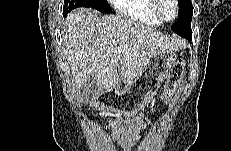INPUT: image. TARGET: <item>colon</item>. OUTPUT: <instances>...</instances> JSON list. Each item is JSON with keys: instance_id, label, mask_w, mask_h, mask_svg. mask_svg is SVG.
I'll return each mask as SVG.
<instances>
[{"instance_id": "1", "label": "colon", "mask_w": 231, "mask_h": 151, "mask_svg": "<svg viewBox=\"0 0 231 151\" xmlns=\"http://www.w3.org/2000/svg\"><path fill=\"white\" fill-rule=\"evenodd\" d=\"M185 73V64L183 61H177L174 66L169 71L167 76L164 97L167 101H170L172 98L178 84L181 82Z\"/></svg>"}]
</instances>
